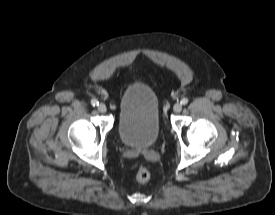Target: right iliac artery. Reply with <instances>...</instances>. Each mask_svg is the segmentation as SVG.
Masks as SVG:
<instances>
[{
  "label": "right iliac artery",
  "instance_id": "obj_1",
  "mask_svg": "<svg viewBox=\"0 0 275 215\" xmlns=\"http://www.w3.org/2000/svg\"><path fill=\"white\" fill-rule=\"evenodd\" d=\"M91 104H92L93 106H98V105H99V102H98V100H96V99H92V100H91Z\"/></svg>",
  "mask_w": 275,
  "mask_h": 215
}]
</instances>
